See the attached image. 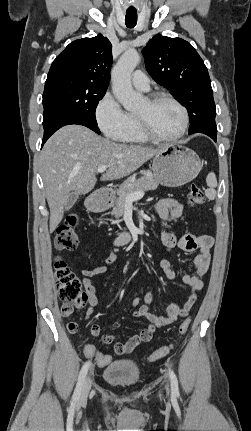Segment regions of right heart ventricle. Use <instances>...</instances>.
<instances>
[{"label": "right heart ventricle", "mask_w": 251, "mask_h": 431, "mask_svg": "<svg viewBox=\"0 0 251 431\" xmlns=\"http://www.w3.org/2000/svg\"><path fill=\"white\" fill-rule=\"evenodd\" d=\"M130 127L127 132L120 138L122 142L125 143H146L149 139H147L141 132L136 116L130 115Z\"/></svg>", "instance_id": "e07e8e85"}]
</instances>
